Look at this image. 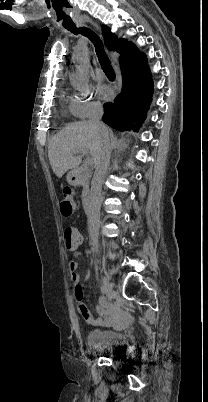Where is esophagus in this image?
I'll use <instances>...</instances> for the list:
<instances>
[{
	"label": "esophagus",
	"instance_id": "1",
	"mask_svg": "<svg viewBox=\"0 0 208 402\" xmlns=\"http://www.w3.org/2000/svg\"><path fill=\"white\" fill-rule=\"evenodd\" d=\"M82 22H83V23H85V22H90L91 24L97 26L96 23H94V22L91 20V18L88 17V15H83V17H82ZM114 64H115V69H116V71H117V73H118V65H117V62H114ZM118 77H119V73H118ZM120 89H121V83L118 84V90L120 91Z\"/></svg>",
	"mask_w": 208,
	"mask_h": 402
}]
</instances>
